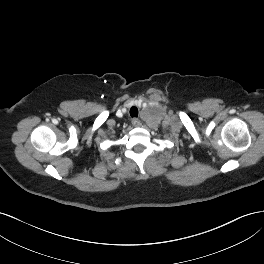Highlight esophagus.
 Here are the masks:
<instances>
[{"label":"esophagus","instance_id":"1","mask_svg":"<svg viewBox=\"0 0 264 264\" xmlns=\"http://www.w3.org/2000/svg\"><path fill=\"white\" fill-rule=\"evenodd\" d=\"M132 124L135 127H139V126H141V121L137 118H134V119H132Z\"/></svg>","mask_w":264,"mask_h":264}]
</instances>
